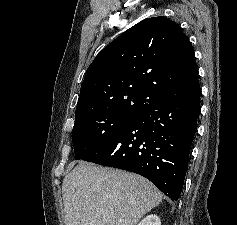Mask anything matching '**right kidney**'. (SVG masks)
Masks as SVG:
<instances>
[{
  "instance_id": "obj_1",
  "label": "right kidney",
  "mask_w": 237,
  "mask_h": 225,
  "mask_svg": "<svg viewBox=\"0 0 237 225\" xmlns=\"http://www.w3.org/2000/svg\"><path fill=\"white\" fill-rule=\"evenodd\" d=\"M138 225H161V221L157 215L150 214L141 220Z\"/></svg>"
}]
</instances>
